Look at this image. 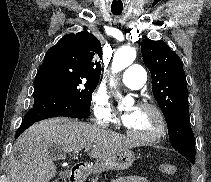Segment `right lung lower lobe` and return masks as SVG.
I'll list each match as a JSON object with an SVG mask.
<instances>
[{
  "label": "right lung lower lobe",
  "instance_id": "obj_1",
  "mask_svg": "<svg viewBox=\"0 0 211 182\" xmlns=\"http://www.w3.org/2000/svg\"><path fill=\"white\" fill-rule=\"evenodd\" d=\"M34 85L33 108L26 113L15 138L43 119L57 116L85 118L90 115L89 107L80 105L71 96L50 85L45 78L36 77Z\"/></svg>",
  "mask_w": 211,
  "mask_h": 182
}]
</instances>
